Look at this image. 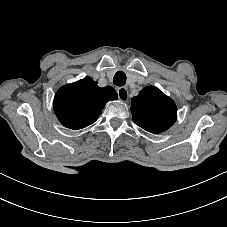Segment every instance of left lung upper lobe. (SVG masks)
<instances>
[{
	"label": "left lung upper lobe",
	"instance_id": "1",
	"mask_svg": "<svg viewBox=\"0 0 227 227\" xmlns=\"http://www.w3.org/2000/svg\"><path fill=\"white\" fill-rule=\"evenodd\" d=\"M131 111L134 123L151 133L167 130L177 118L174 101L154 86L132 98Z\"/></svg>",
	"mask_w": 227,
	"mask_h": 227
}]
</instances>
